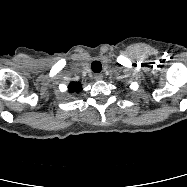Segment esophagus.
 Here are the masks:
<instances>
[{
	"mask_svg": "<svg viewBox=\"0 0 187 187\" xmlns=\"http://www.w3.org/2000/svg\"><path fill=\"white\" fill-rule=\"evenodd\" d=\"M96 80H102L103 75L102 74H96L94 77Z\"/></svg>",
	"mask_w": 187,
	"mask_h": 187,
	"instance_id": "obj_1",
	"label": "esophagus"
}]
</instances>
